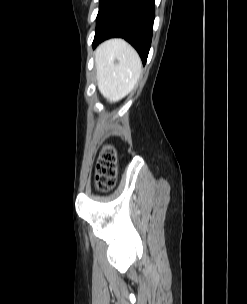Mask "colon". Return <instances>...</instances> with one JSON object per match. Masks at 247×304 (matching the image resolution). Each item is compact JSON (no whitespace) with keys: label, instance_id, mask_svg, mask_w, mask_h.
Listing matches in <instances>:
<instances>
[{"label":"colon","instance_id":"5ec220e1","mask_svg":"<svg viewBox=\"0 0 247 304\" xmlns=\"http://www.w3.org/2000/svg\"><path fill=\"white\" fill-rule=\"evenodd\" d=\"M118 173L117 154L113 147L106 146L100 152L96 165V184L100 190H109L115 185Z\"/></svg>","mask_w":247,"mask_h":304}]
</instances>
